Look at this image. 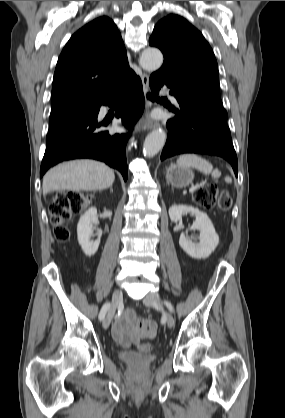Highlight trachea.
Wrapping results in <instances>:
<instances>
[{
  "instance_id": "1",
  "label": "trachea",
  "mask_w": 285,
  "mask_h": 418,
  "mask_svg": "<svg viewBox=\"0 0 285 418\" xmlns=\"http://www.w3.org/2000/svg\"><path fill=\"white\" fill-rule=\"evenodd\" d=\"M148 98H156L155 96L151 95V94H147Z\"/></svg>"
}]
</instances>
